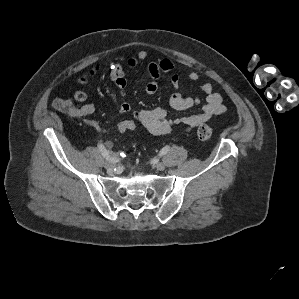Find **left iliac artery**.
<instances>
[{
    "mask_svg": "<svg viewBox=\"0 0 299 299\" xmlns=\"http://www.w3.org/2000/svg\"><path fill=\"white\" fill-rule=\"evenodd\" d=\"M169 149V146H165L164 148H162V150L160 151V156L165 155L169 151Z\"/></svg>",
    "mask_w": 299,
    "mask_h": 299,
    "instance_id": "1",
    "label": "left iliac artery"
}]
</instances>
